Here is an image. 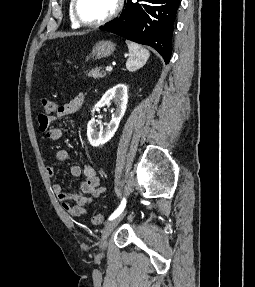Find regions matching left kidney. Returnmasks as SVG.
<instances>
[{
	"label": "left kidney",
	"mask_w": 255,
	"mask_h": 287,
	"mask_svg": "<svg viewBox=\"0 0 255 287\" xmlns=\"http://www.w3.org/2000/svg\"><path fill=\"white\" fill-rule=\"evenodd\" d=\"M116 104V108L112 114L111 122L109 124H104L106 128H103L101 122H97L95 118H91L90 122H88L87 126V136L91 145H103L106 142H109L111 138H113L115 132H117V128L126 112L127 104H128V88L125 84H117V86H113L110 88L108 92H105L104 96H102L101 100L95 104L92 112L94 114L95 110H99V108H104V106H110V104ZM100 126V132H97V126Z\"/></svg>",
	"instance_id": "left-kidney-1"
}]
</instances>
